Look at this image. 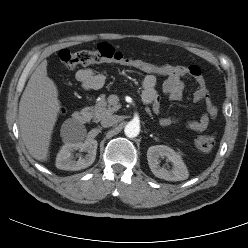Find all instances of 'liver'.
<instances>
[{
  "label": "liver",
  "instance_id": "liver-1",
  "mask_svg": "<svg viewBox=\"0 0 248 248\" xmlns=\"http://www.w3.org/2000/svg\"><path fill=\"white\" fill-rule=\"evenodd\" d=\"M57 86L43 60L31 75L19 103L22 140L33 158L47 161L52 132L60 110Z\"/></svg>",
  "mask_w": 248,
  "mask_h": 248
}]
</instances>
